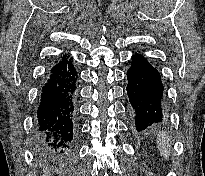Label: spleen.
<instances>
[{
  "label": "spleen",
  "mask_w": 205,
  "mask_h": 176,
  "mask_svg": "<svg viewBox=\"0 0 205 176\" xmlns=\"http://www.w3.org/2000/svg\"><path fill=\"white\" fill-rule=\"evenodd\" d=\"M157 145L161 155L167 160L169 159L171 150L170 137L165 132H159L157 136Z\"/></svg>",
  "instance_id": "obj_1"
}]
</instances>
